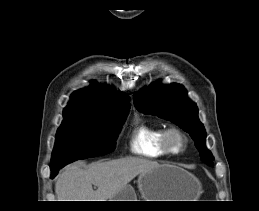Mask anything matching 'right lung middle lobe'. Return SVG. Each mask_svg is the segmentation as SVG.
Listing matches in <instances>:
<instances>
[{
  "mask_svg": "<svg viewBox=\"0 0 259 211\" xmlns=\"http://www.w3.org/2000/svg\"><path fill=\"white\" fill-rule=\"evenodd\" d=\"M127 113L64 115L56 134L51 171L78 159L105 155L115 149V140Z\"/></svg>",
  "mask_w": 259,
  "mask_h": 211,
  "instance_id": "right-lung-middle-lobe-1",
  "label": "right lung middle lobe"
}]
</instances>
